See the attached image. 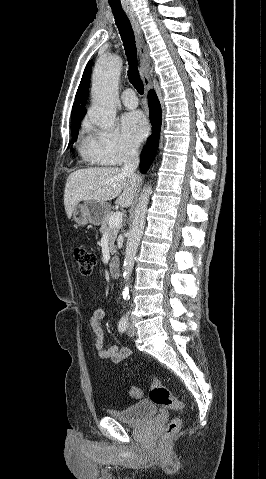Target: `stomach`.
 Listing matches in <instances>:
<instances>
[{
	"label": "stomach",
	"mask_w": 266,
	"mask_h": 479,
	"mask_svg": "<svg viewBox=\"0 0 266 479\" xmlns=\"http://www.w3.org/2000/svg\"><path fill=\"white\" fill-rule=\"evenodd\" d=\"M110 213V205L104 201L89 200L76 206L73 212V220L78 226L88 223L99 225Z\"/></svg>",
	"instance_id": "stomach-1"
}]
</instances>
